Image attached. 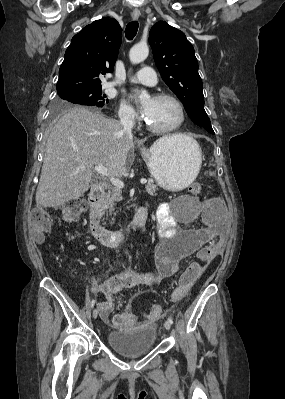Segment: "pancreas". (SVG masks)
<instances>
[{"label":"pancreas","instance_id":"pancreas-1","mask_svg":"<svg viewBox=\"0 0 285 399\" xmlns=\"http://www.w3.org/2000/svg\"><path fill=\"white\" fill-rule=\"evenodd\" d=\"M146 191L150 195H156L158 190L157 185L154 184L153 181H149L146 185ZM121 189L117 187H111L108 189V192L105 194L102 202H101V212L104 214L105 212H113L115 209L116 202L121 200Z\"/></svg>","mask_w":285,"mask_h":399}]
</instances>
